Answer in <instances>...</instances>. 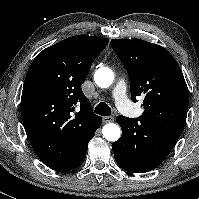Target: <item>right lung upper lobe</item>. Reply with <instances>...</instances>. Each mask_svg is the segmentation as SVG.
Instances as JSON below:
<instances>
[{
  "label": "right lung upper lobe",
  "instance_id": "obj_1",
  "mask_svg": "<svg viewBox=\"0 0 199 199\" xmlns=\"http://www.w3.org/2000/svg\"><path fill=\"white\" fill-rule=\"evenodd\" d=\"M108 42V38L77 35L35 57L21 97V117L33 149L43 144L42 153L60 158L66 141L87 132L101 118L80 87ZM76 106L80 109L74 113Z\"/></svg>",
  "mask_w": 199,
  "mask_h": 199
}]
</instances>
